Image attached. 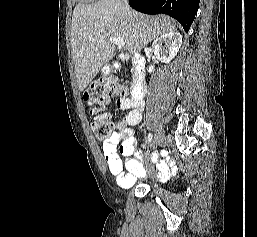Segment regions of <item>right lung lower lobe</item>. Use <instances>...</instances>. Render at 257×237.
<instances>
[{
	"instance_id": "98d812e1",
	"label": "right lung lower lobe",
	"mask_w": 257,
	"mask_h": 237,
	"mask_svg": "<svg viewBox=\"0 0 257 237\" xmlns=\"http://www.w3.org/2000/svg\"><path fill=\"white\" fill-rule=\"evenodd\" d=\"M200 0H129L137 11L146 14H167L181 23L186 32L195 18Z\"/></svg>"
}]
</instances>
